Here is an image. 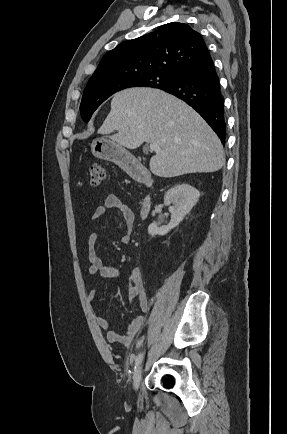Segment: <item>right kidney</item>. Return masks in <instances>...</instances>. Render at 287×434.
<instances>
[{"label": "right kidney", "mask_w": 287, "mask_h": 434, "mask_svg": "<svg viewBox=\"0 0 287 434\" xmlns=\"http://www.w3.org/2000/svg\"><path fill=\"white\" fill-rule=\"evenodd\" d=\"M200 197V192L190 184L183 183L168 190L164 196V203L169 207L171 221L168 225L158 227L152 223L148 227V233L152 236L165 235L171 229L179 225L184 217L195 206Z\"/></svg>", "instance_id": "ca27d5eb"}]
</instances>
